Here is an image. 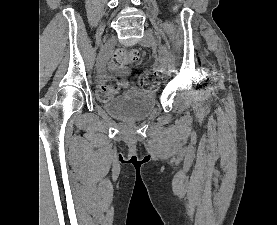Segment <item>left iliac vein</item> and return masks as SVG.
<instances>
[{
  "instance_id": "4c4485c4",
  "label": "left iliac vein",
  "mask_w": 277,
  "mask_h": 225,
  "mask_svg": "<svg viewBox=\"0 0 277 225\" xmlns=\"http://www.w3.org/2000/svg\"><path fill=\"white\" fill-rule=\"evenodd\" d=\"M154 42H155V38H154V35H153L152 31H150V30H145L144 36H143V38L141 39L140 44H141L143 47H150L151 45L154 44ZM160 69H161V71L163 72V74H164L166 77H169V76H170V72H168V71L165 69V66L160 65Z\"/></svg>"
}]
</instances>
